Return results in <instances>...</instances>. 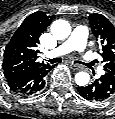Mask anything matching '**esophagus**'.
Listing matches in <instances>:
<instances>
[{
  "label": "esophagus",
  "instance_id": "1",
  "mask_svg": "<svg viewBox=\"0 0 115 119\" xmlns=\"http://www.w3.org/2000/svg\"><path fill=\"white\" fill-rule=\"evenodd\" d=\"M69 64H70L71 69H73V70H81V69H83V67L81 65L76 64L74 62H69Z\"/></svg>",
  "mask_w": 115,
  "mask_h": 119
}]
</instances>
